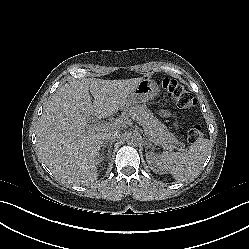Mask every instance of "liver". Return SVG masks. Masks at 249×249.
Wrapping results in <instances>:
<instances>
[{
	"label": "liver",
	"instance_id": "liver-1",
	"mask_svg": "<svg viewBox=\"0 0 249 249\" xmlns=\"http://www.w3.org/2000/svg\"><path fill=\"white\" fill-rule=\"evenodd\" d=\"M136 84L89 79L62 87L39 121L37 147L43 161L57 171L74 174L78 181H94L102 135L118 130L119 125L96 128L89 124L91 117L108 118L122 109Z\"/></svg>",
	"mask_w": 249,
	"mask_h": 249
}]
</instances>
